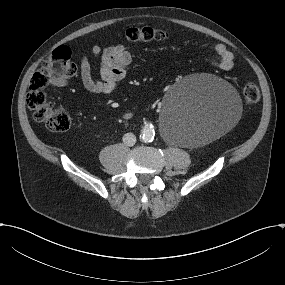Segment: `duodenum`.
<instances>
[{"label":"duodenum","mask_w":285,"mask_h":285,"mask_svg":"<svg viewBox=\"0 0 285 285\" xmlns=\"http://www.w3.org/2000/svg\"><path fill=\"white\" fill-rule=\"evenodd\" d=\"M132 117V113L127 112L124 114V119H130Z\"/></svg>","instance_id":"410a0bca"}]
</instances>
